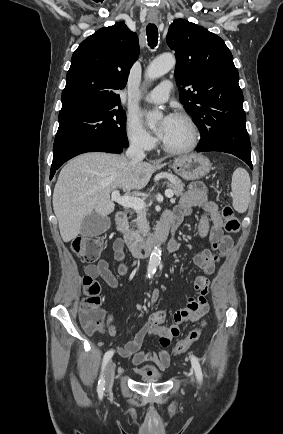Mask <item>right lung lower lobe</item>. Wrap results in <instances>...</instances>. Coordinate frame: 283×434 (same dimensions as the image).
I'll return each mask as SVG.
<instances>
[{
  "mask_svg": "<svg viewBox=\"0 0 283 434\" xmlns=\"http://www.w3.org/2000/svg\"><path fill=\"white\" fill-rule=\"evenodd\" d=\"M124 147L108 141V140H92L85 141L73 145L65 151L55 155L50 171V179L53 178L56 170L62 166L69 159L86 152H107V153H121Z\"/></svg>",
  "mask_w": 283,
  "mask_h": 434,
  "instance_id": "right-lung-lower-lobe-1",
  "label": "right lung lower lobe"
}]
</instances>
